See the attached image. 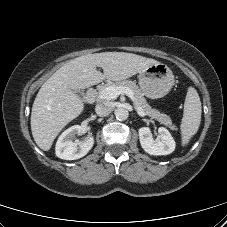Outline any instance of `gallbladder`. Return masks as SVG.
I'll return each instance as SVG.
<instances>
[{
  "instance_id": "1",
  "label": "gallbladder",
  "mask_w": 227,
  "mask_h": 227,
  "mask_svg": "<svg viewBox=\"0 0 227 227\" xmlns=\"http://www.w3.org/2000/svg\"><path fill=\"white\" fill-rule=\"evenodd\" d=\"M75 93L77 94L78 97H82L83 96V92L80 90H76Z\"/></svg>"
}]
</instances>
